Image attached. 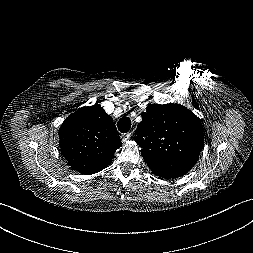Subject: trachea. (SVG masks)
Returning a JSON list of instances; mask_svg holds the SVG:
<instances>
[{"mask_svg":"<svg viewBox=\"0 0 253 253\" xmlns=\"http://www.w3.org/2000/svg\"><path fill=\"white\" fill-rule=\"evenodd\" d=\"M117 127L120 132L127 133L131 128V120L128 117H122L118 123Z\"/></svg>","mask_w":253,"mask_h":253,"instance_id":"3493384b","label":"trachea"}]
</instances>
